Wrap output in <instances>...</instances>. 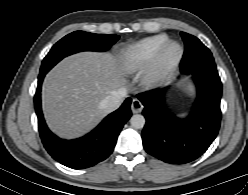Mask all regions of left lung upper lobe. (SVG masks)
I'll return each mask as SVG.
<instances>
[{
    "label": "left lung upper lobe",
    "mask_w": 248,
    "mask_h": 195,
    "mask_svg": "<svg viewBox=\"0 0 248 195\" xmlns=\"http://www.w3.org/2000/svg\"><path fill=\"white\" fill-rule=\"evenodd\" d=\"M185 52L180 64L181 73L197 74L202 71H217L210 50L195 36L181 32Z\"/></svg>",
    "instance_id": "obj_1"
}]
</instances>
